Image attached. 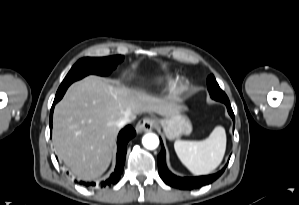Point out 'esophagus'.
<instances>
[{"label":"esophagus","mask_w":299,"mask_h":205,"mask_svg":"<svg viewBox=\"0 0 299 205\" xmlns=\"http://www.w3.org/2000/svg\"><path fill=\"white\" fill-rule=\"evenodd\" d=\"M155 123V120L151 118H142L136 125V131L138 133L151 131L154 128Z\"/></svg>","instance_id":"34e87169"}]
</instances>
